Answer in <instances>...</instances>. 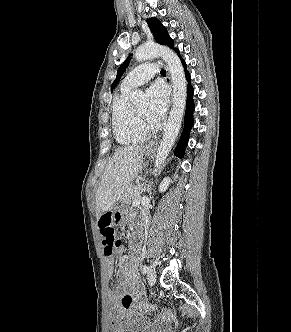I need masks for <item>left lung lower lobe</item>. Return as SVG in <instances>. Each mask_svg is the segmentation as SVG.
I'll return each instance as SVG.
<instances>
[{
  "label": "left lung lower lobe",
  "mask_w": 291,
  "mask_h": 332,
  "mask_svg": "<svg viewBox=\"0 0 291 332\" xmlns=\"http://www.w3.org/2000/svg\"><path fill=\"white\" fill-rule=\"evenodd\" d=\"M176 52H179L176 50ZM182 64L185 69V75L188 81V87H187V103H186V113H185V118H184V129L180 138V141L178 145L175 148V154L183 157L187 144H188V139H189V134L190 130L193 127L194 120H193V112L195 109L194 106V101H193V95H194V90L193 87L191 86V77L190 73L186 70V62L181 58Z\"/></svg>",
  "instance_id": "1"
}]
</instances>
